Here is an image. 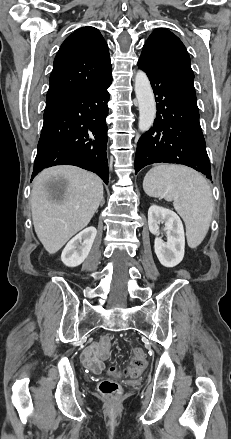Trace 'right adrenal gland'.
<instances>
[{
    "label": "right adrenal gland",
    "instance_id": "right-adrenal-gland-1",
    "mask_svg": "<svg viewBox=\"0 0 231 439\" xmlns=\"http://www.w3.org/2000/svg\"><path fill=\"white\" fill-rule=\"evenodd\" d=\"M104 204V199H102V202H101V205H103Z\"/></svg>",
    "mask_w": 231,
    "mask_h": 439
}]
</instances>
